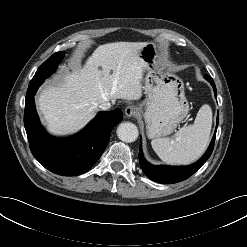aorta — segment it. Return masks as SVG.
<instances>
[{
	"instance_id": "1",
	"label": "aorta",
	"mask_w": 247,
	"mask_h": 247,
	"mask_svg": "<svg viewBox=\"0 0 247 247\" xmlns=\"http://www.w3.org/2000/svg\"><path fill=\"white\" fill-rule=\"evenodd\" d=\"M139 132L135 124L123 122L117 128V136L121 141L131 143L138 138Z\"/></svg>"
}]
</instances>
